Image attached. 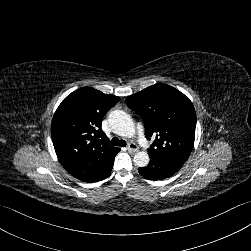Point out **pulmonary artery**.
<instances>
[{
	"label": "pulmonary artery",
	"instance_id": "pulmonary-artery-1",
	"mask_svg": "<svg viewBox=\"0 0 251 251\" xmlns=\"http://www.w3.org/2000/svg\"><path fill=\"white\" fill-rule=\"evenodd\" d=\"M137 141L142 148H146L149 145V142L146 140V132L142 126H139L136 129Z\"/></svg>",
	"mask_w": 251,
	"mask_h": 251
}]
</instances>
